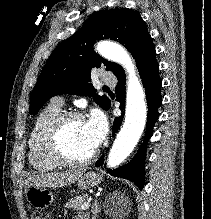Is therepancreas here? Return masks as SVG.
Wrapping results in <instances>:
<instances>
[{
    "mask_svg": "<svg viewBox=\"0 0 211 219\" xmlns=\"http://www.w3.org/2000/svg\"><path fill=\"white\" fill-rule=\"evenodd\" d=\"M87 197H88L87 194H82L80 196L71 198L69 202L65 204V208L72 209V210H80L82 205L85 203V200Z\"/></svg>",
    "mask_w": 211,
    "mask_h": 219,
    "instance_id": "cf45deb5",
    "label": "pancreas"
}]
</instances>
